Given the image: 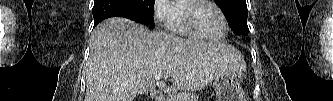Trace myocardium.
<instances>
[{
  "label": "myocardium",
  "mask_w": 333,
  "mask_h": 101,
  "mask_svg": "<svg viewBox=\"0 0 333 101\" xmlns=\"http://www.w3.org/2000/svg\"><path fill=\"white\" fill-rule=\"evenodd\" d=\"M203 4H207L212 6L220 15L222 21H223V31L220 35L216 37H210L207 35H204L198 28L195 20V11L196 9ZM183 13H184V20L185 24L188 28V30L196 37L204 39V40H210V41H217L221 40L224 38L229 30V24L228 20L226 18V15L224 12L221 10V8L213 1H208V0H189L186 1L184 8H183Z\"/></svg>",
  "instance_id": "myocardium-1"
}]
</instances>
